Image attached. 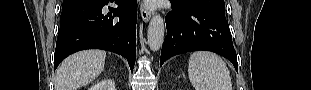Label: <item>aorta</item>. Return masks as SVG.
<instances>
[{"instance_id": "aorta-1", "label": "aorta", "mask_w": 311, "mask_h": 90, "mask_svg": "<svg viewBox=\"0 0 311 90\" xmlns=\"http://www.w3.org/2000/svg\"><path fill=\"white\" fill-rule=\"evenodd\" d=\"M164 21L160 15H154L148 26L147 43L152 51H158L164 41Z\"/></svg>"}]
</instances>
